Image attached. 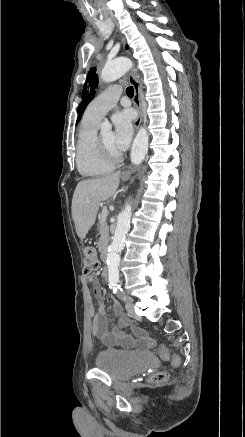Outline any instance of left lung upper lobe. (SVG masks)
<instances>
[{
    "label": "left lung upper lobe",
    "mask_w": 245,
    "mask_h": 437,
    "mask_svg": "<svg viewBox=\"0 0 245 437\" xmlns=\"http://www.w3.org/2000/svg\"><path fill=\"white\" fill-rule=\"evenodd\" d=\"M126 49H128V46L126 47ZM97 85H98V76L96 74V68L93 67L88 72L86 82L83 86L82 101H81L79 108H78L79 117L77 119L76 124H78L85 108L87 107L89 102L93 99Z\"/></svg>",
    "instance_id": "1"
}]
</instances>
